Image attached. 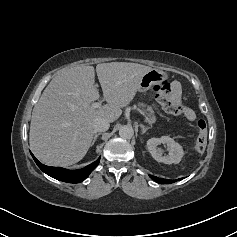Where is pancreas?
Here are the masks:
<instances>
[{
  "instance_id": "1",
  "label": "pancreas",
  "mask_w": 237,
  "mask_h": 237,
  "mask_svg": "<svg viewBox=\"0 0 237 237\" xmlns=\"http://www.w3.org/2000/svg\"><path fill=\"white\" fill-rule=\"evenodd\" d=\"M138 106L141 107V108L146 107V109H144V114H145L146 121L148 123H154L156 121V117L154 115V111H153V108L151 106H146L143 103H139Z\"/></svg>"
}]
</instances>
